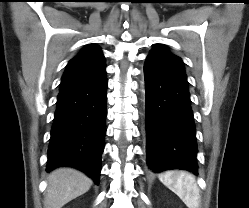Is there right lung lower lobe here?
<instances>
[{
	"mask_svg": "<svg viewBox=\"0 0 249 208\" xmlns=\"http://www.w3.org/2000/svg\"><path fill=\"white\" fill-rule=\"evenodd\" d=\"M106 73L60 91L51 129L47 171L71 166L99 183L106 132Z\"/></svg>",
	"mask_w": 249,
	"mask_h": 208,
	"instance_id": "obj_1",
	"label": "right lung lower lobe"
}]
</instances>
